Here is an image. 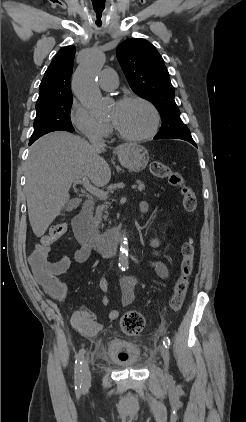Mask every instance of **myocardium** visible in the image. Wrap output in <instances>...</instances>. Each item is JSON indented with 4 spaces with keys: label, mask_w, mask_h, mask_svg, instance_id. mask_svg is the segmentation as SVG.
I'll return each mask as SVG.
<instances>
[{
    "label": "myocardium",
    "mask_w": 246,
    "mask_h": 422,
    "mask_svg": "<svg viewBox=\"0 0 246 422\" xmlns=\"http://www.w3.org/2000/svg\"><path fill=\"white\" fill-rule=\"evenodd\" d=\"M133 102L141 103V104L145 105L151 111L152 116H153V122H152L151 128L144 134L130 135V134H127V133L121 131L115 125H113V127H114L116 134L124 140L131 141V142L145 141L147 139L152 138L157 133L159 126H160V121H161L160 113H159L157 107L150 100H148L147 98H144L142 96H138V95L125 96V97L119 99L117 104L123 105V104H128V103H133Z\"/></svg>",
    "instance_id": "myocardium-1"
}]
</instances>
